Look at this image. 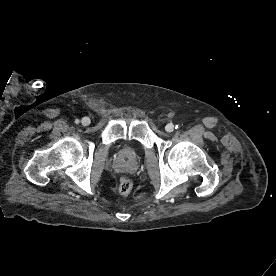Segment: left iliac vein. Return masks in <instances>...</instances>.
<instances>
[{"mask_svg":"<svg viewBox=\"0 0 276 276\" xmlns=\"http://www.w3.org/2000/svg\"><path fill=\"white\" fill-rule=\"evenodd\" d=\"M165 130L167 132H172L174 130V125L172 123L167 124Z\"/></svg>","mask_w":276,"mask_h":276,"instance_id":"obj_1","label":"left iliac vein"}]
</instances>
